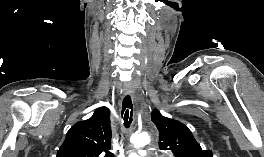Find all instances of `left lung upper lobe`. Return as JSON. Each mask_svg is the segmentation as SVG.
<instances>
[{"label": "left lung upper lobe", "mask_w": 264, "mask_h": 157, "mask_svg": "<svg viewBox=\"0 0 264 157\" xmlns=\"http://www.w3.org/2000/svg\"><path fill=\"white\" fill-rule=\"evenodd\" d=\"M152 121L159 130V147L171 150L175 157H213L211 150H202L191 131L183 123L152 112Z\"/></svg>", "instance_id": "5c2ea615"}]
</instances>
